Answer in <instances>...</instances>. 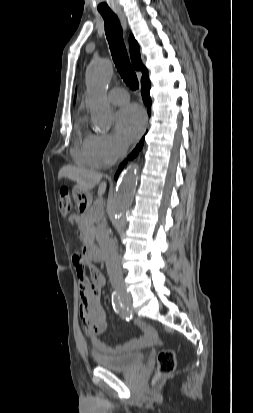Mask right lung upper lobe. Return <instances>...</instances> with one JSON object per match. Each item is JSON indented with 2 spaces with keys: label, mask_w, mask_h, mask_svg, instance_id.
<instances>
[{
  "label": "right lung upper lobe",
  "mask_w": 253,
  "mask_h": 413,
  "mask_svg": "<svg viewBox=\"0 0 253 413\" xmlns=\"http://www.w3.org/2000/svg\"><path fill=\"white\" fill-rule=\"evenodd\" d=\"M129 47H130L131 60H132L134 68L136 70H141L143 75L147 74L148 71L141 62L139 45L132 35L129 38Z\"/></svg>",
  "instance_id": "obj_1"
}]
</instances>
